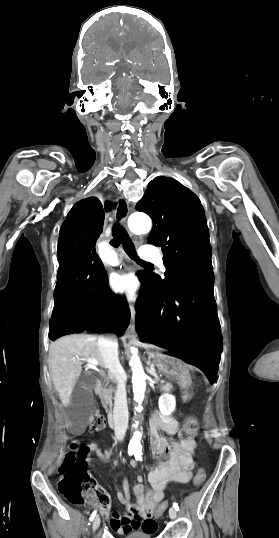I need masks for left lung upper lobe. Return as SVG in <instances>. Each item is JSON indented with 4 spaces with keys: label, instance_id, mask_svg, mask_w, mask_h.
<instances>
[{
    "label": "left lung upper lobe",
    "instance_id": "5c2ea615",
    "mask_svg": "<svg viewBox=\"0 0 279 538\" xmlns=\"http://www.w3.org/2000/svg\"><path fill=\"white\" fill-rule=\"evenodd\" d=\"M136 209L152 218L148 243L161 246L164 254L165 279L152 272L139 276L155 294H164L182 282L213 273L207 221L193 192L172 178L158 176L150 181Z\"/></svg>",
    "mask_w": 279,
    "mask_h": 538
}]
</instances>
